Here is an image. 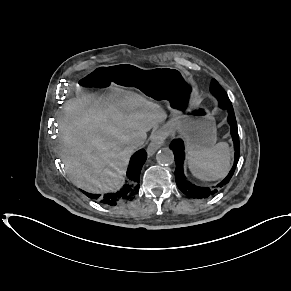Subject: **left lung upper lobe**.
<instances>
[{
  "label": "left lung upper lobe",
  "mask_w": 291,
  "mask_h": 291,
  "mask_svg": "<svg viewBox=\"0 0 291 291\" xmlns=\"http://www.w3.org/2000/svg\"><path fill=\"white\" fill-rule=\"evenodd\" d=\"M210 90H211V93L216 98L222 96V97H224V98L229 100V97H228L227 93L224 91V89L219 85V83L215 79L212 80L211 89Z\"/></svg>",
  "instance_id": "1"
}]
</instances>
